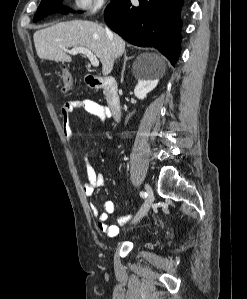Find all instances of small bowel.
Returning a JSON list of instances; mask_svg holds the SVG:
<instances>
[{"label": "small bowel", "mask_w": 247, "mask_h": 299, "mask_svg": "<svg viewBox=\"0 0 247 299\" xmlns=\"http://www.w3.org/2000/svg\"><path fill=\"white\" fill-rule=\"evenodd\" d=\"M74 110H84L87 113L98 117L100 120H105L110 116L109 109L96 101L90 99H78L66 101L61 107V124L65 138L72 142L74 141V132L70 124V114ZM85 169L87 180L83 185V193L90 197L94 194L96 188L102 187L105 184V179L102 174L96 171L90 162L89 156L85 157ZM115 210L114 202L107 200L103 203V211L101 212L95 204H90V211L96 220L98 228L110 237H114L119 232L120 225L126 224L131 215H121L116 219V225L108 224L109 215Z\"/></svg>", "instance_id": "small-bowel-1"}]
</instances>
